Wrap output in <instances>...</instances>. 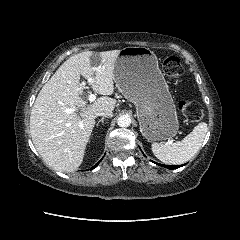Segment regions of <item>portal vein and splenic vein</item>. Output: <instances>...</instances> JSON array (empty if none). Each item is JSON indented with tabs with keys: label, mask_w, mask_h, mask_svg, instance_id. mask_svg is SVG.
Masks as SVG:
<instances>
[{
	"label": "portal vein and splenic vein",
	"mask_w": 240,
	"mask_h": 240,
	"mask_svg": "<svg viewBox=\"0 0 240 240\" xmlns=\"http://www.w3.org/2000/svg\"><path fill=\"white\" fill-rule=\"evenodd\" d=\"M92 81H93L92 78H89V79H88V83H91ZM80 86L84 87V86H85V82H82V83L80 84ZM88 99H89L90 102H94L95 99H96V95L90 93L89 96H88ZM74 111H75L74 108H68V109H66V112L69 113V114L72 113V112H74Z\"/></svg>",
	"instance_id": "portal-vein-and-splenic-vein-1"
}]
</instances>
